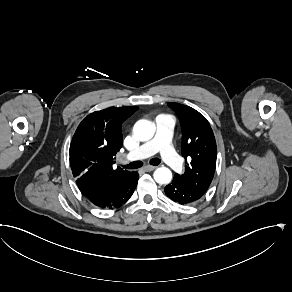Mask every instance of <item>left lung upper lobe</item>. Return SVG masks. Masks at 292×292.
<instances>
[{
	"label": "left lung upper lobe",
	"mask_w": 292,
	"mask_h": 292,
	"mask_svg": "<svg viewBox=\"0 0 292 292\" xmlns=\"http://www.w3.org/2000/svg\"><path fill=\"white\" fill-rule=\"evenodd\" d=\"M168 106L176 112L180 120L182 156L186 159L184 174H175L174 179L205 193L216 168L217 147L212 128L195 109L179 103H168Z\"/></svg>",
	"instance_id": "obj_1"
}]
</instances>
